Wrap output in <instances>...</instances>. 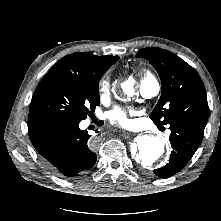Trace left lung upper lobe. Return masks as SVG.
I'll return each instance as SVG.
<instances>
[{"label":"left lung upper lobe","mask_w":221,"mask_h":221,"mask_svg":"<svg viewBox=\"0 0 221 221\" xmlns=\"http://www.w3.org/2000/svg\"><path fill=\"white\" fill-rule=\"evenodd\" d=\"M136 57L147 59L157 70L162 95L150 118L157 126L182 122L204 129L208 103L204 84L193 67L161 48L140 50Z\"/></svg>","instance_id":"5c2ea615"}]
</instances>
